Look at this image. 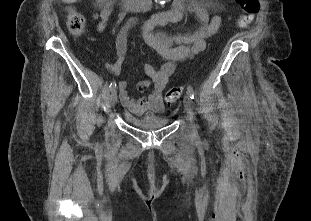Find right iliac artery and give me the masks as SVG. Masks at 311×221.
Wrapping results in <instances>:
<instances>
[{
	"label": "right iliac artery",
	"instance_id": "obj_1",
	"mask_svg": "<svg viewBox=\"0 0 311 221\" xmlns=\"http://www.w3.org/2000/svg\"><path fill=\"white\" fill-rule=\"evenodd\" d=\"M109 88H110L111 91H112V90H115V88H116V82H115V81L111 82Z\"/></svg>",
	"mask_w": 311,
	"mask_h": 221
}]
</instances>
